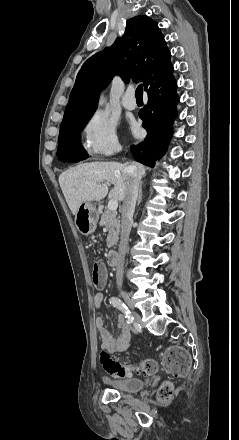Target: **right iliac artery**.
Returning <instances> with one entry per match:
<instances>
[{"mask_svg": "<svg viewBox=\"0 0 239 440\" xmlns=\"http://www.w3.org/2000/svg\"><path fill=\"white\" fill-rule=\"evenodd\" d=\"M110 304L116 308H118L119 310H121L124 315L125 318L127 319L128 324H132L134 321V317L131 315L130 310L128 309V307L117 297H112L110 298Z\"/></svg>", "mask_w": 239, "mask_h": 440, "instance_id": "1", "label": "right iliac artery"}]
</instances>
